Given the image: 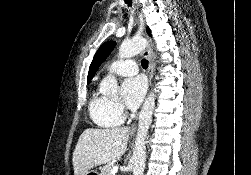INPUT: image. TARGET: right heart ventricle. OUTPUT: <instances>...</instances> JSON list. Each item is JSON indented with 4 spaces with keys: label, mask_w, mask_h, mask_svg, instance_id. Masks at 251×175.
<instances>
[{
    "label": "right heart ventricle",
    "mask_w": 251,
    "mask_h": 175,
    "mask_svg": "<svg viewBox=\"0 0 251 175\" xmlns=\"http://www.w3.org/2000/svg\"><path fill=\"white\" fill-rule=\"evenodd\" d=\"M88 113L93 122L100 127L114 128L120 124V120L114 114L112 103L101 95L98 89L92 92Z\"/></svg>",
    "instance_id": "obj_1"
}]
</instances>
